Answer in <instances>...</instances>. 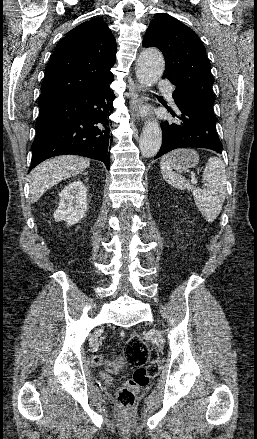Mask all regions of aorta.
<instances>
[{
  "label": "aorta",
  "mask_w": 257,
  "mask_h": 439,
  "mask_svg": "<svg viewBox=\"0 0 257 439\" xmlns=\"http://www.w3.org/2000/svg\"><path fill=\"white\" fill-rule=\"evenodd\" d=\"M164 71V58L155 48H147L141 52L136 63V76L146 87L155 84ZM162 132L157 121L148 120L139 141L144 157H153L160 149Z\"/></svg>",
  "instance_id": "762f6f07"
}]
</instances>
